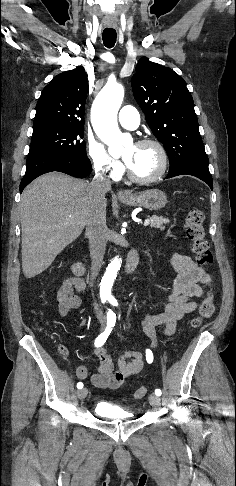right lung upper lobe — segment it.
I'll list each match as a JSON object with an SVG mask.
<instances>
[{"instance_id":"obj_1","label":"right lung upper lobe","mask_w":236,"mask_h":486,"mask_svg":"<svg viewBox=\"0 0 236 486\" xmlns=\"http://www.w3.org/2000/svg\"><path fill=\"white\" fill-rule=\"evenodd\" d=\"M87 91L88 79L82 66L58 74L41 93L33 127H83Z\"/></svg>"}]
</instances>
